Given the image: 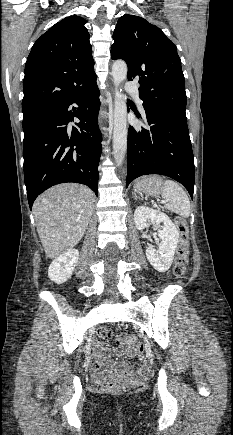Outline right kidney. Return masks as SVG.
Segmentation results:
<instances>
[{
    "label": "right kidney",
    "mask_w": 233,
    "mask_h": 435,
    "mask_svg": "<svg viewBox=\"0 0 233 435\" xmlns=\"http://www.w3.org/2000/svg\"><path fill=\"white\" fill-rule=\"evenodd\" d=\"M78 257L77 249H70L58 256L49 266L48 276L50 280L57 284L67 281L75 269Z\"/></svg>",
    "instance_id": "1"
}]
</instances>
